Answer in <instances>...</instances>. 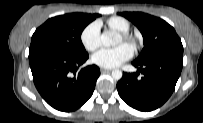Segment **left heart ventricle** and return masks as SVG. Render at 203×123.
<instances>
[{
	"label": "left heart ventricle",
	"mask_w": 203,
	"mask_h": 123,
	"mask_svg": "<svg viewBox=\"0 0 203 123\" xmlns=\"http://www.w3.org/2000/svg\"><path fill=\"white\" fill-rule=\"evenodd\" d=\"M121 43H123V40H122L121 36H119L117 39V44H121Z\"/></svg>",
	"instance_id": "1"
}]
</instances>
